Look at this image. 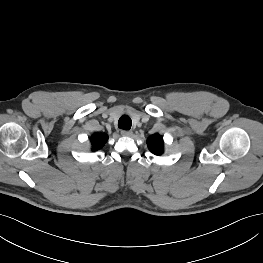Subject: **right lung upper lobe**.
Masks as SVG:
<instances>
[{"label": "right lung upper lobe", "instance_id": "1", "mask_svg": "<svg viewBox=\"0 0 263 263\" xmlns=\"http://www.w3.org/2000/svg\"><path fill=\"white\" fill-rule=\"evenodd\" d=\"M108 140V136L104 133H95L91 138L92 149L98 150L103 147V145Z\"/></svg>", "mask_w": 263, "mask_h": 263}]
</instances>
